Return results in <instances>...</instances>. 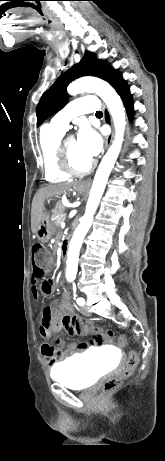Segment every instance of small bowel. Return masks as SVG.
I'll list each match as a JSON object with an SVG mask.
<instances>
[{
  "label": "small bowel",
  "mask_w": 165,
  "mask_h": 461,
  "mask_svg": "<svg viewBox=\"0 0 165 461\" xmlns=\"http://www.w3.org/2000/svg\"><path fill=\"white\" fill-rule=\"evenodd\" d=\"M57 288V283L52 280H44L40 287L33 281L32 296L37 299L39 293L45 297L51 296ZM61 330L67 331L70 335L85 336L89 333L88 323L81 317L73 315L70 311V293L65 290L59 302L46 306L39 318V333L42 338L49 339L53 334ZM104 334L95 332L90 337H80V344L72 343L65 351L60 341L54 345L47 342L41 344L40 350L47 365L55 366L61 361L77 354H91L93 351H101L103 348Z\"/></svg>",
  "instance_id": "c3829d8e"
}]
</instances>
